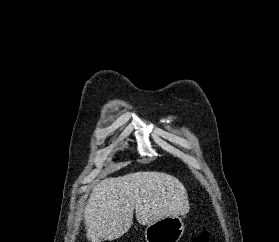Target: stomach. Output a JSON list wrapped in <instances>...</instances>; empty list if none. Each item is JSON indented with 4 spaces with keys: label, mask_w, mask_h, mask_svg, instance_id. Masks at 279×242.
Returning a JSON list of instances; mask_svg holds the SVG:
<instances>
[{
    "label": "stomach",
    "mask_w": 279,
    "mask_h": 242,
    "mask_svg": "<svg viewBox=\"0 0 279 242\" xmlns=\"http://www.w3.org/2000/svg\"><path fill=\"white\" fill-rule=\"evenodd\" d=\"M184 230V222L180 216H168L149 224L144 233L146 242H178Z\"/></svg>",
    "instance_id": "obj_1"
}]
</instances>
